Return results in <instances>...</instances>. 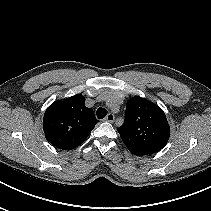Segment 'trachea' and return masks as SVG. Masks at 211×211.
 <instances>
[{
	"mask_svg": "<svg viewBox=\"0 0 211 211\" xmlns=\"http://www.w3.org/2000/svg\"><path fill=\"white\" fill-rule=\"evenodd\" d=\"M96 114L99 119H103L107 115V110L105 108L100 107L97 109Z\"/></svg>",
	"mask_w": 211,
	"mask_h": 211,
	"instance_id": "trachea-1",
	"label": "trachea"
}]
</instances>
